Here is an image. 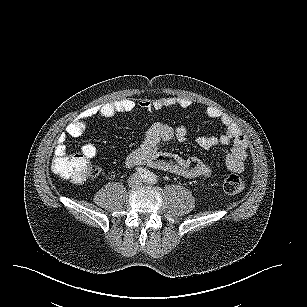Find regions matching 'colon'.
<instances>
[{
  "instance_id": "1",
  "label": "colon",
  "mask_w": 307,
  "mask_h": 307,
  "mask_svg": "<svg viewBox=\"0 0 307 307\" xmlns=\"http://www.w3.org/2000/svg\"><path fill=\"white\" fill-rule=\"evenodd\" d=\"M54 172L74 182H83L98 174V169L82 154H70L53 161ZM244 179L234 173L225 174L222 179L223 190L227 194H237L245 189Z\"/></svg>"
}]
</instances>
